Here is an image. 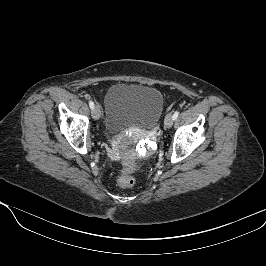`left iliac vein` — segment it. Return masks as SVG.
<instances>
[{
	"instance_id": "1",
	"label": "left iliac vein",
	"mask_w": 266,
	"mask_h": 266,
	"mask_svg": "<svg viewBox=\"0 0 266 266\" xmlns=\"http://www.w3.org/2000/svg\"><path fill=\"white\" fill-rule=\"evenodd\" d=\"M173 116L171 114H168L166 117H165V120H164V124H165V127L166 128H170L172 127L173 125Z\"/></svg>"
}]
</instances>
